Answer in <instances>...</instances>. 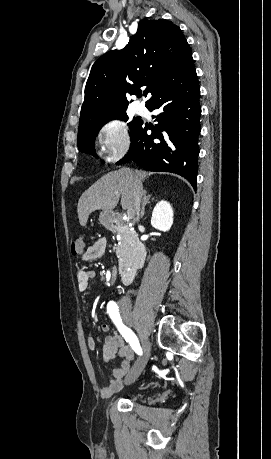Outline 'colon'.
<instances>
[{"instance_id": "obj_1", "label": "colon", "mask_w": 271, "mask_h": 459, "mask_svg": "<svg viewBox=\"0 0 271 459\" xmlns=\"http://www.w3.org/2000/svg\"><path fill=\"white\" fill-rule=\"evenodd\" d=\"M86 248V237L85 235H79L78 237L75 238V240L72 242V253L74 255H81L85 252Z\"/></svg>"}]
</instances>
